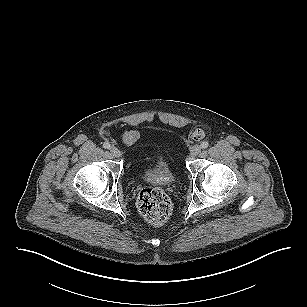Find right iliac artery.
<instances>
[{
  "instance_id": "82829eb1",
  "label": "right iliac artery",
  "mask_w": 307,
  "mask_h": 307,
  "mask_svg": "<svg viewBox=\"0 0 307 307\" xmlns=\"http://www.w3.org/2000/svg\"><path fill=\"white\" fill-rule=\"evenodd\" d=\"M103 147H104L105 149H109V148L111 147V145H110L109 142H105V143L103 144Z\"/></svg>"
}]
</instances>
